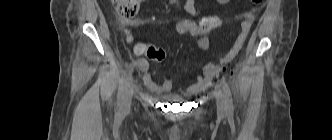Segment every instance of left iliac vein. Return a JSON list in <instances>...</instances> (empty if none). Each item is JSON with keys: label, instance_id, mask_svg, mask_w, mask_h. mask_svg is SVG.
<instances>
[{"label": "left iliac vein", "instance_id": "1", "mask_svg": "<svg viewBox=\"0 0 332 140\" xmlns=\"http://www.w3.org/2000/svg\"><path fill=\"white\" fill-rule=\"evenodd\" d=\"M216 103H217V108L220 112L226 111V101L224 94L222 93L221 90H218L216 92Z\"/></svg>", "mask_w": 332, "mask_h": 140}]
</instances>
